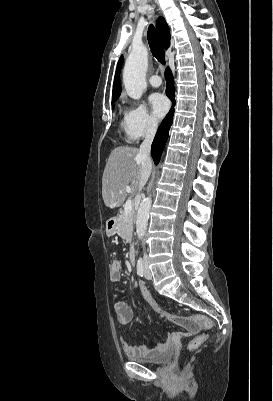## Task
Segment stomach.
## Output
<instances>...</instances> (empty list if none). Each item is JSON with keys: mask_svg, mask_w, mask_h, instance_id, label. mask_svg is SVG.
Returning a JSON list of instances; mask_svg holds the SVG:
<instances>
[{"mask_svg": "<svg viewBox=\"0 0 273 401\" xmlns=\"http://www.w3.org/2000/svg\"><path fill=\"white\" fill-rule=\"evenodd\" d=\"M114 233V229H107V235H112Z\"/></svg>", "mask_w": 273, "mask_h": 401, "instance_id": "0dacf381", "label": "stomach"}]
</instances>
